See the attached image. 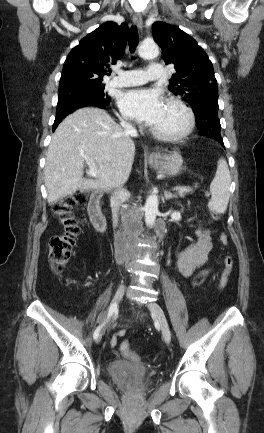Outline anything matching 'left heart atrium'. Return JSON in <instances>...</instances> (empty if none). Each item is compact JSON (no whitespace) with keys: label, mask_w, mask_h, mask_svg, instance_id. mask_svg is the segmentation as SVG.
<instances>
[{"label":"left heart atrium","mask_w":264,"mask_h":433,"mask_svg":"<svg viewBox=\"0 0 264 433\" xmlns=\"http://www.w3.org/2000/svg\"><path fill=\"white\" fill-rule=\"evenodd\" d=\"M118 104L125 115L150 126L159 120L165 106L159 92L143 88L123 92Z\"/></svg>","instance_id":"1"}]
</instances>
